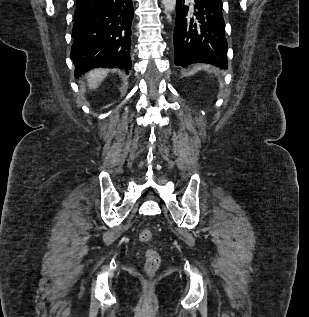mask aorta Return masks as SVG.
Wrapping results in <instances>:
<instances>
[{
    "label": "aorta",
    "instance_id": "1",
    "mask_svg": "<svg viewBox=\"0 0 309 317\" xmlns=\"http://www.w3.org/2000/svg\"><path fill=\"white\" fill-rule=\"evenodd\" d=\"M162 4L164 5L166 11L172 12L176 6V0H162Z\"/></svg>",
    "mask_w": 309,
    "mask_h": 317
}]
</instances>
